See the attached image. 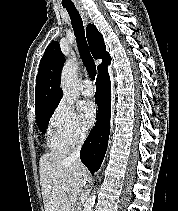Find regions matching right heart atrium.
Wrapping results in <instances>:
<instances>
[{
    "mask_svg": "<svg viewBox=\"0 0 178 211\" xmlns=\"http://www.w3.org/2000/svg\"><path fill=\"white\" fill-rule=\"evenodd\" d=\"M51 124L66 149L80 145L87 136V129L74 109L64 102L56 107Z\"/></svg>",
    "mask_w": 178,
    "mask_h": 211,
    "instance_id": "obj_1",
    "label": "right heart atrium"
}]
</instances>
